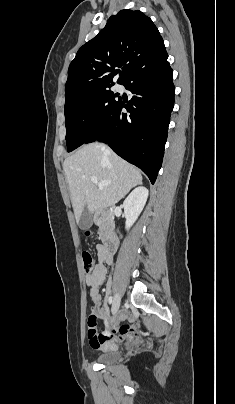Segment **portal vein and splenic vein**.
<instances>
[{"label": "portal vein and splenic vein", "instance_id": "1", "mask_svg": "<svg viewBox=\"0 0 235 404\" xmlns=\"http://www.w3.org/2000/svg\"><path fill=\"white\" fill-rule=\"evenodd\" d=\"M91 181H92L93 183L97 184L99 188H102V187H104V186H106V185L109 184V182H98V180H97L96 177H92V178H91Z\"/></svg>", "mask_w": 235, "mask_h": 404}]
</instances>
